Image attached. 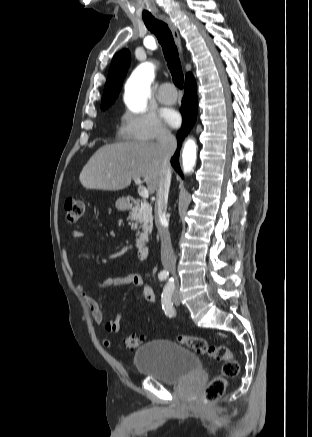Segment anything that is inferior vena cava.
I'll return each instance as SVG.
<instances>
[{
	"mask_svg": "<svg viewBox=\"0 0 312 437\" xmlns=\"http://www.w3.org/2000/svg\"><path fill=\"white\" fill-rule=\"evenodd\" d=\"M160 173L156 191L155 223L161 239V261L164 269L175 273L176 257L173 252L168 221L166 218L169 187L171 182L170 158L176 150V138L163 129L158 135Z\"/></svg>",
	"mask_w": 312,
	"mask_h": 437,
	"instance_id": "obj_1",
	"label": "inferior vena cava"
}]
</instances>
